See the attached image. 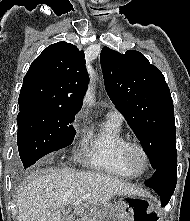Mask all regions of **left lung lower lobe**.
<instances>
[{"instance_id": "0a47b994", "label": "left lung lower lobe", "mask_w": 190, "mask_h": 221, "mask_svg": "<svg viewBox=\"0 0 190 221\" xmlns=\"http://www.w3.org/2000/svg\"><path fill=\"white\" fill-rule=\"evenodd\" d=\"M177 182V153L168 156L154 170L150 179L145 185L154 189L161 198V206L164 207L169 202L174 193Z\"/></svg>"}]
</instances>
